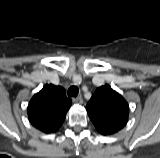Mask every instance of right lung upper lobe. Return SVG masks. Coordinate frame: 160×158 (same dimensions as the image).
I'll return each mask as SVG.
<instances>
[{"label":"right lung upper lobe","instance_id":"right-lung-upper-lobe-1","mask_svg":"<svg viewBox=\"0 0 160 158\" xmlns=\"http://www.w3.org/2000/svg\"><path fill=\"white\" fill-rule=\"evenodd\" d=\"M71 106V99L61 86L46 84L28 105L30 123L44 133H53L63 124Z\"/></svg>","mask_w":160,"mask_h":158}]
</instances>
